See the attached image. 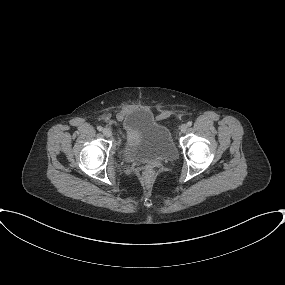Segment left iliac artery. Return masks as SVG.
I'll return each mask as SVG.
<instances>
[{
  "instance_id": "44dca946",
  "label": "left iliac artery",
  "mask_w": 285,
  "mask_h": 285,
  "mask_svg": "<svg viewBox=\"0 0 285 285\" xmlns=\"http://www.w3.org/2000/svg\"><path fill=\"white\" fill-rule=\"evenodd\" d=\"M187 126H192V122L191 121H189L188 123H187Z\"/></svg>"
}]
</instances>
